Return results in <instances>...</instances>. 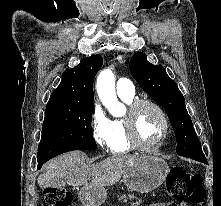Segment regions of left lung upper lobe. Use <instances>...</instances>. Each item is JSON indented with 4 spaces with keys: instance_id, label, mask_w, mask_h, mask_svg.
<instances>
[{
    "instance_id": "5c2ea615",
    "label": "left lung upper lobe",
    "mask_w": 221,
    "mask_h": 206,
    "mask_svg": "<svg viewBox=\"0 0 221 206\" xmlns=\"http://www.w3.org/2000/svg\"><path fill=\"white\" fill-rule=\"evenodd\" d=\"M146 58L145 53L134 54L129 63L130 72L143 90L167 111L176 136L177 154L192 159L205 157L175 81L162 66L153 65Z\"/></svg>"
}]
</instances>
